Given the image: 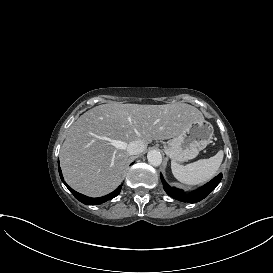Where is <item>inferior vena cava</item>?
Listing matches in <instances>:
<instances>
[{"label":"inferior vena cava","mask_w":273,"mask_h":273,"mask_svg":"<svg viewBox=\"0 0 273 273\" xmlns=\"http://www.w3.org/2000/svg\"><path fill=\"white\" fill-rule=\"evenodd\" d=\"M146 148L141 140H133L127 145V152L130 155L141 153Z\"/></svg>","instance_id":"inferior-vena-cava-1"}]
</instances>
